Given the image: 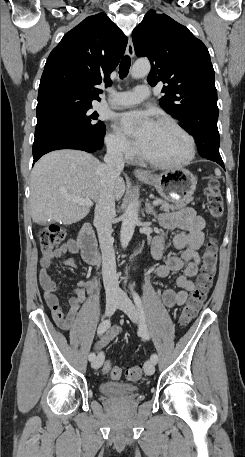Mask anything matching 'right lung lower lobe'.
<instances>
[{"label":"right lung lower lobe","instance_id":"98d812e1","mask_svg":"<svg viewBox=\"0 0 245 457\" xmlns=\"http://www.w3.org/2000/svg\"><path fill=\"white\" fill-rule=\"evenodd\" d=\"M59 149H77L86 152H99L102 147L95 146L88 138L79 133L65 130L45 132L35 136L33 143V165L44 154Z\"/></svg>","mask_w":245,"mask_h":457}]
</instances>
